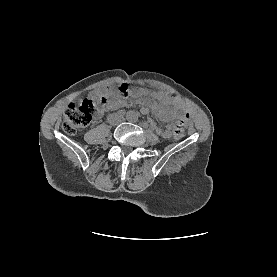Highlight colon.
<instances>
[{
	"mask_svg": "<svg viewBox=\"0 0 277 277\" xmlns=\"http://www.w3.org/2000/svg\"><path fill=\"white\" fill-rule=\"evenodd\" d=\"M131 87L123 85L119 88L120 95L126 97L130 94ZM109 103L107 97H97L95 99L82 98L71 103L64 115L63 129L68 134H74L78 130L86 127L97 108L106 107ZM186 128L182 120H177L173 124L172 134L176 140L182 139Z\"/></svg>",
	"mask_w": 277,
	"mask_h": 277,
	"instance_id": "colon-1",
	"label": "colon"
}]
</instances>
